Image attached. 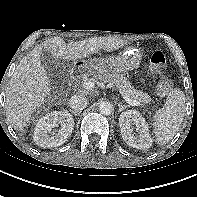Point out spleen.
Returning a JSON list of instances; mask_svg holds the SVG:
<instances>
[{
    "instance_id": "1",
    "label": "spleen",
    "mask_w": 197,
    "mask_h": 197,
    "mask_svg": "<svg viewBox=\"0 0 197 197\" xmlns=\"http://www.w3.org/2000/svg\"><path fill=\"white\" fill-rule=\"evenodd\" d=\"M185 94L179 88L167 96L163 108L154 115L153 127L158 145L169 142L179 130L185 115Z\"/></svg>"
}]
</instances>
